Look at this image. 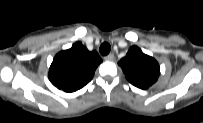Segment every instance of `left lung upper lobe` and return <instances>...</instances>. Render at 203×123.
<instances>
[{
  "instance_id": "1",
  "label": "left lung upper lobe",
  "mask_w": 203,
  "mask_h": 123,
  "mask_svg": "<svg viewBox=\"0 0 203 123\" xmlns=\"http://www.w3.org/2000/svg\"><path fill=\"white\" fill-rule=\"evenodd\" d=\"M127 80L140 89H147L160 75L158 62L144 54L137 46H132L118 63Z\"/></svg>"
}]
</instances>
